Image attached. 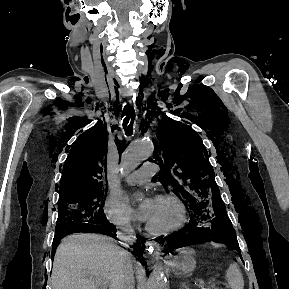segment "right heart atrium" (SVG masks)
I'll list each match as a JSON object with an SVG mask.
<instances>
[{"label":"right heart atrium","instance_id":"d8ad5b80","mask_svg":"<svg viewBox=\"0 0 289 289\" xmlns=\"http://www.w3.org/2000/svg\"><path fill=\"white\" fill-rule=\"evenodd\" d=\"M105 213L107 219L119 229L129 231L134 226L135 221L131 212L114 194H111L106 200Z\"/></svg>","mask_w":289,"mask_h":289}]
</instances>
